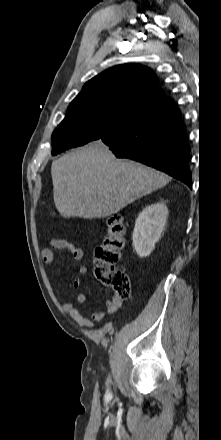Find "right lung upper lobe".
Listing matches in <instances>:
<instances>
[{
  "instance_id": "1",
  "label": "right lung upper lobe",
  "mask_w": 221,
  "mask_h": 440,
  "mask_svg": "<svg viewBox=\"0 0 221 440\" xmlns=\"http://www.w3.org/2000/svg\"><path fill=\"white\" fill-rule=\"evenodd\" d=\"M165 97L153 71L138 64L105 70L89 80L72 102L109 101L134 111Z\"/></svg>"
}]
</instances>
